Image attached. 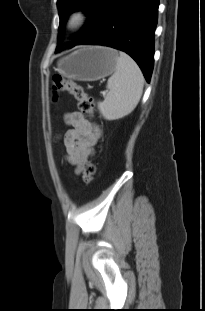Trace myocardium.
Returning a JSON list of instances; mask_svg holds the SVG:
<instances>
[{
    "label": "myocardium",
    "instance_id": "myocardium-1",
    "mask_svg": "<svg viewBox=\"0 0 205 311\" xmlns=\"http://www.w3.org/2000/svg\"><path fill=\"white\" fill-rule=\"evenodd\" d=\"M87 14L82 9L73 10L67 19L66 28L70 31H78L87 23Z\"/></svg>",
    "mask_w": 205,
    "mask_h": 311
}]
</instances>
